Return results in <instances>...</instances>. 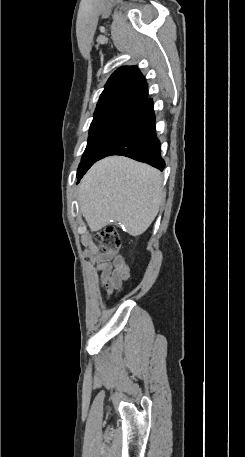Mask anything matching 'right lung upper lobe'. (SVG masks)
I'll return each mask as SVG.
<instances>
[{
  "mask_svg": "<svg viewBox=\"0 0 245 457\" xmlns=\"http://www.w3.org/2000/svg\"><path fill=\"white\" fill-rule=\"evenodd\" d=\"M148 96L146 81L135 66L117 69L105 85L95 113L131 111Z\"/></svg>",
  "mask_w": 245,
  "mask_h": 457,
  "instance_id": "1",
  "label": "right lung upper lobe"
}]
</instances>
